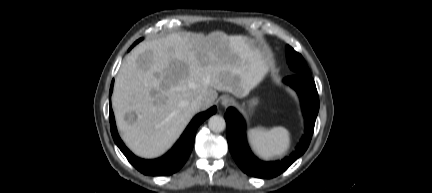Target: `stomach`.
Returning a JSON list of instances; mask_svg holds the SVG:
<instances>
[{"mask_svg":"<svg viewBox=\"0 0 432 193\" xmlns=\"http://www.w3.org/2000/svg\"><path fill=\"white\" fill-rule=\"evenodd\" d=\"M258 104V99L257 98H252L251 100H249L247 102V105L245 103H243L241 105V109L242 111H244L245 113L251 114L252 110L254 109V107Z\"/></svg>","mask_w":432,"mask_h":193,"instance_id":"stomach-1","label":"stomach"}]
</instances>
